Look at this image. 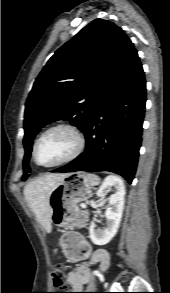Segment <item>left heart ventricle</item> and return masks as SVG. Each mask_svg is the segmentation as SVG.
Segmentation results:
<instances>
[{"instance_id":"left-heart-ventricle-1","label":"left heart ventricle","mask_w":170,"mask_h":293,"mask_svg":"<svg viewBox=\"0 0 170 293\" xmlns=\"http://www.w3.org/2000/svg\"><path fill=\"white\" fill-rule=\"evenodd\" d=\"M76 148V138L67 129H55L46 134L37 147V159L52 164L68 157Z\"/></svg>"}]
</instances>
